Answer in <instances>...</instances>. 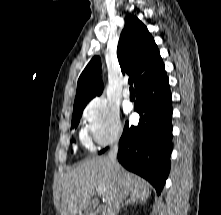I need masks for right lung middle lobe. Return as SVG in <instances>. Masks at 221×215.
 <instances>
[{
	"mask_svg": "<svg viewBox=\"0 0 221 215\" xmlns=\"http://www.w3.org/2000/svg\"><path fill=\"white\" fill-rule=\"evenodd\" d=\"M86 104H79V105H74L73 107V115H72V128H76L80 118L82 116V111Z\"/></svg>",
	"mask_w": 221,
	"mask_h": 215,
	"instance_id": "dd1d6c3e",
	"label": "right lung middle lobe"
}]
</instances>
